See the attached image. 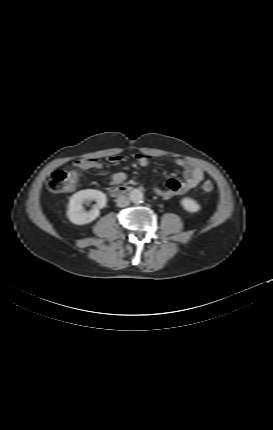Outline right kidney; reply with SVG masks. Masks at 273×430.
I'll return each mask as SVG.
<instances>
[{
  "label": "right kidney",
  "mask_w": 273,
  "mask_h": 430,
  "mask_svg": "<svg viewBox=\"0 0 273 430\" xmlns=\"http://www.w3.org/2000/svg\"><path fill=\"white\" fill-rule=\"evenodd\" d=\"M95 200L97 204L89 212H84L83 204ZM106 195L94 189L81 190L75 193L69 200L67 216L77 225H84L94 221L100 214L99 209L106 206Z\"/></svg>",
  "instance_id": "right-kidney-1"
}]
</instances>
